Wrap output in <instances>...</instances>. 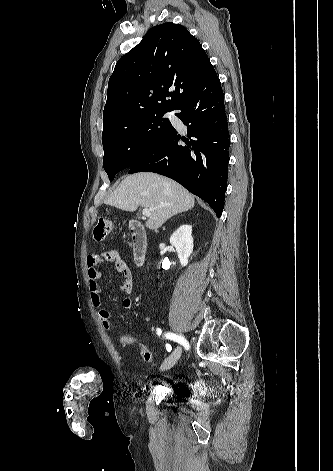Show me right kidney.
Wrapping results in <instances>:
<instances>
[{
    "label": "right kidney",
    "instance_id": "1",
    "mask_svg": "<svg viewBox=\"0 0 333 471\" xmlns=\"http://www.w3.org/2000/svg\"><path fill=\"white\" fill-rule=\"evenodd\" d=\"M192 226L183 225L170 237V243L176 248L182 267L188 264V258L193 251Z\"/></svg>",
    "mask_w": 333,
    "mask_h": 471
}]
</instances>
